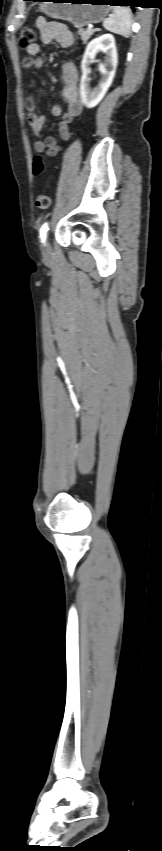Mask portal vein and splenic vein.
Segmentation results:
<instances>
[{
    "instance_id": "obj_1",
    "label": "portal vein and splenic vein",
    "mask_w": 162,
    "mask_h": 851,
    "mask_svg": "<svg viewBox=\"0 0 162 851\" xmlns=\"http://www.w3.org/2000/svg\"><path fill=\"white\" fill-rule=\"evenodd\" d=\"M90 29H91V26H88V30H90Z\"/></svg>"
}]
</instances>
